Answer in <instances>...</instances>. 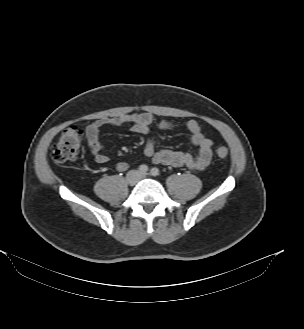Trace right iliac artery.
Segmentation results:
<instances>
[{"mask_svg": "<svg viewBox=\"0 0 304 329\" xmlns=\"http://www.w3.org/2000/svg\"><path fill=\"white\" fill-rule=\"evenodd\" d=\"M138 170H139L140 173L144 174L149 170V168H148L147 165L143 164V165L139 166Z\"/></svg>", "mask_w": 304, "mask_h": 329, "instance_id": "obj_1", "label": "right iliac artery"}]
</instances>
